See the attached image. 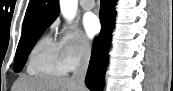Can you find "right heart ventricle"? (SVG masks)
Here are the masks:
<instances>
[{
	"label": "right heart ventricle",
	"instance_id": "obj_1",
	"mask_svg": "<svg viewBox=\"0 0 173 91\" xmlns=\"http://www.w3.org/2000/svg\"><path fill=\"white\" fill-rule=\"evenodd\" d=\"M67 72L57 45L49 37L43 38L30 54L28 73L39 77H55L65 76Z\"/></svg>",
	"mask_w": 173,
	"mask_h": 91
}]
</instances>
